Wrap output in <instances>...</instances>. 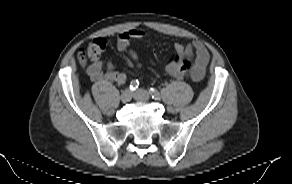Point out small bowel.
Returning a JSON list of instances; mask_svg holds the SVG:
<instances>
[{
  "label": "small bowel",
  "mask_w": 292,
  "mask_h": 184,
  "mask_svg": "<svg viewBox=\"0 0 292 184\" xmlns=\"http://www.w3.org/2000/svg\"><path fill=\"white\" fill-rule=\"evenodd\" d=\"M145 37V32L141 29L134 28L121 32L117 37V49L121 52L128 65L141 68L142 62L137 53L130 48L131 40H141ZM175 50L185 58H193L194 65L191 71V78L194 81H200L206 71L209 62V52L206 47L199 41H194L187 45L176 44ZM166 72L175 78H180L181 75L176 66L168 65ZM87 73L94 82H116L122 84L126 81V74L123 71H115L113 64L110 61L104 62L101 59L94 60Z\"/></svg>",
  "instance_id": "1"
}]
</instances>
